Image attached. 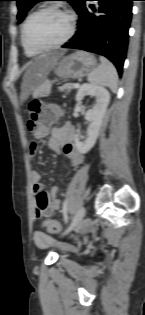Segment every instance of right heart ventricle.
I'll use <instances>...</instances> for the list:
<instances>
[{"instance_id":"e07e8e85","label":"right heart ventricle","mask_w":145,"mask_h":315,"mask_svg":"<svg viewBox=\"0 0 145 315\" xmlns=\"http://www.w3.org/2000/svg\"><path fill=\"white\" fill-rule=\"evenodd\" d=\"M21 43H22L24 52H25V54H26L27 56L33 57V56H36V55H38V54L40 53L39 51H35V50H32V49L28 48V47L24 44V42H23V40H22V35H21Z\"/></svg>"}]
</instances>
